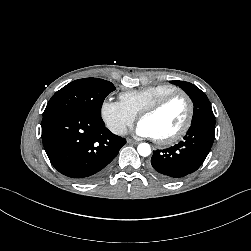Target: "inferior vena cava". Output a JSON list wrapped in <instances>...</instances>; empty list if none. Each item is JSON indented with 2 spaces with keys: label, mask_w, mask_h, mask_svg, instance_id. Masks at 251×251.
Wrapping results in <instances>:
<instances>
[{
  "label": "inferior vena cava",
  "mask_w": 251,
  "mask_h": 251,
  "mask_svg": "<svg viewBox=\"0 0 251 251\" xmlns=\"http://www.w3.org/2000/svg\"><path fill=\"white\" fill-rule=\"evenodd\" d=\"M113 133H115L117 135H126L127 128L125 126H119L113 130Z\"/></svg>",
  "instance_id": "inferior-vena-cava-1"
}]
</instances>
